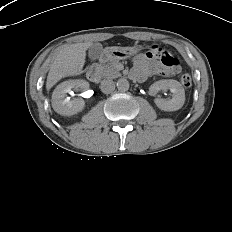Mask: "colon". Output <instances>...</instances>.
<instances>
[{
  "label": "colon",
  "instance_id": "1",
  "mask_svg": "<svg viewBox=\"0 0 232 232\" xmlns=\"http://www.w3.org/2000/svg\"><path fill=\"white\" fill-rule=\"evenodd\" d=\"M147 57L150 60L165 67L168 70L169 74H172L179 68V60L171 52L158 46L152 47L148 51ZM181 83L184 86V88L189 89L192 86L191 76L186 73L183 74L181 76Z\"/></svg>",
  "mask_w": 232,
  "mask_h": 232
}]
</instances>
